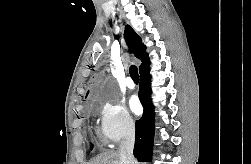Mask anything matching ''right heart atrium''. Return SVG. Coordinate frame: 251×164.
<instances>
[{"label":"right heart atrium","mask_w":251,"mask_h":164,"mask_svg":"<svg viewBox=\"0 0 251 164\" xmlns=\"http://www.w3.org/2000/svg\"><path fill=\"white\" fill-rule=\"evenodd\" d=\"M103 135L112 143L131 136L135 122L126 107L118 101L107 98L97 108Z\"/></svg>","instance_id":"right-heart-atrium-1"}]
</instances>
